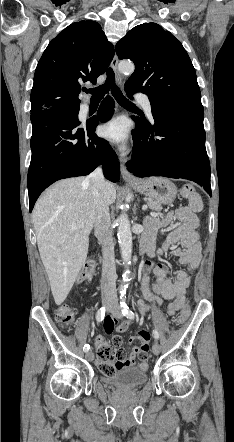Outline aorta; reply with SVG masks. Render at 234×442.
I'll return each mask as SVG.
<instances>
[{
	"mask_svg": "<svg viewBox=\"0 0 234 442\" xmlns=\"http://www.w3.org/2000/svg\"><path fill=\"white\" fill-rule=\"evenodd\" d=\"M119 71L124 74L133 73L135 67L132 62L123 61L119 63ZM118 242L124 263H129L132 255V232L130 221L126 213H122L118 218ZM129 271L123 275V280L128 281ZM126 285L121 286V290L125 291Z\"/></svg>",
	"mask_w": 234,
	"mask_h": 442,
	"instance_id": "aorta-1",
	"label": "aorta"
}]
</instances>
